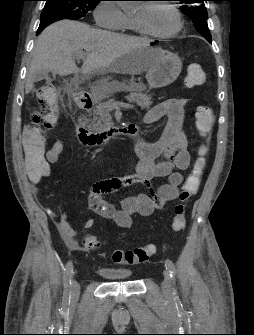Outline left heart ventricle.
<instances>
[{
	"label": "left heart ventricle",
	"mask_w": 254,
	"mask_h": 335,
	"mask_svg": "<svg viewBox=\"0 0 254 335\" xmlns=\"http://www.w3.org/2000/svg\"><path fill=\"white\" fill-rule=\"evenodd\" d=\"M149 30L167 33L176 26V18L172 10L165 5H140L134 14Z\"/></svg>",
	"instance_id": "obj_1"
}]
</instances>
